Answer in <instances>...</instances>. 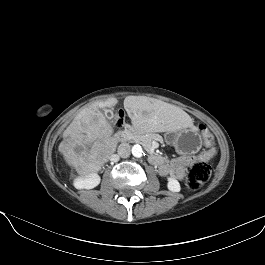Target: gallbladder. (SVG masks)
I'll list each match as a JSON object with an SVG mask.
<instances>
[{"label": "gallbladder", "mask_w": 265, "mask_h": 265, "mask_svg": "<svg viewBox=\"0 0 265 265\" xmlns=\"http://www.w3.org/2000/svg\"><path fill=\"white\" fill-rule=\"evenodd\" d=\"M106 116H107L109 119H111V118L113 117V112H112V110H107V111H106Z\"/></svg>", "instance_id": "obj_1"}]
</instances>
